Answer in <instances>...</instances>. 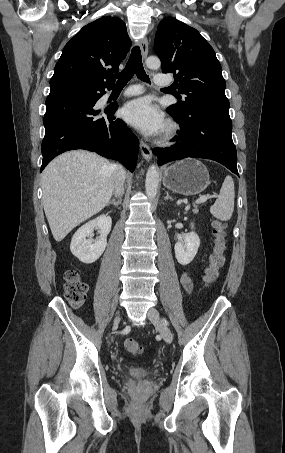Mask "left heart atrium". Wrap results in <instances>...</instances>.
Instances as JSON below:
<instances>
[{"label": "left heart atrium", "mask_w": 285, "mask_h": 453, "mask_svg": "<svg viewBox=\"0 0 285 453\" xmlns=\"http://www.w3.org/2000/svg\"><path fill=\"white\" fill-rule=\"evenodd\" d=\"M122 115L128 123L149 135L160 133L165 126L163 113L148 97L128 102L122 109Z\"/></svg>", "instance_id": "39dd6f15"}]
</instances>
